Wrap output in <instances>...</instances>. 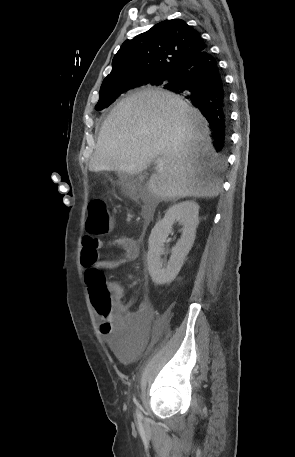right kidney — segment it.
Listing matches in <instances>:
<instances>
[{
    "label": "right kidney",
    "mask_w": 295,
    "mask_h": 457,
    "mask_svg": "<svg viewBox=\"0 0 295 457\" xmlns=\"http://www.w3.org/2000/svg\"><path fill=\"white\" fill-rule=\"evenodd\" d=\"M199 206L194 201H184L171 206L164 218L156 223L149 237L147 263L149 274L156 285L172 282L178 275L184 260L191 250L199 223ZM175 222L182 225V235L171 250V257L164 266L160 261L164 242Z\"/></svg>",
    "instance_id": "ca27d5eb"
}]
</instances>
